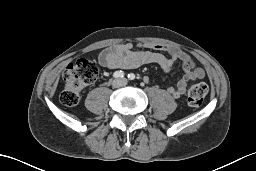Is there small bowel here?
Segmentation results:
<instances>
[{
  "label": "small bowel",
  "mask_w": 256,
  "mask_h": 171,
  "mask_svg": "<svg viewBox=\"0 0 256 171\" xmlns=\"http://www.w3.org/2000/svg\"><path fill=\"white\" fill-rule=\"evenodd\" d=\"M98 61L102 67L108 69L126 70L157 64L165 74L170 72L179 61L184 74L175 86L167 88V92L174 98H179L185 93L189 81L205 77V71L197 66L187 53L178 47L160 43L139 44L137 49H134L131 43L116 44L104 50L99 55Z\"/></svg>",
  "instance_id": "1"
}]
</instances>
